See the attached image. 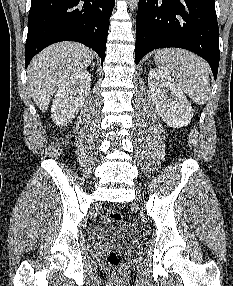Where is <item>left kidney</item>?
Returning <instances> with one entry per match:
<instances>
[{
    "mask_svg": "<svg viewBox=\"0 0 233 286\" xmlns=\"http://www.w3.org/2000/svg\"><path fill=\"white\" fill-rule=\"evenodd\" d=\"M151 99L158 114L169 127L187 126L193 117V109L179 85L158 69L148 75Z\"/></svg>",
    "mask_w": 233,
    "mask_h": 286,
    "instance_id": "obj_1",
    "label": "left kidney"
}]
</instances>
